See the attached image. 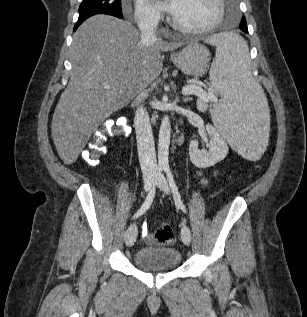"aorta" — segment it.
I'll list each match as a JSON object with an SVG mask.
<instances>
[{
  "instance_id": "aorta-1",
  "label": "aorta",
  "mask_w": 307,
  "mask_h": 317,
  "mask_svg": "<svg viewBox=\"0 0 307 317\" xmlns=\"http://www.w3.org/2000/svg\"><path fill=\"white\" fill-rule=\"evenodd\" d=\"M171 136V125L167 115L161 121L158 139V164L160 167H167L169 164V145Z\"/></svg>"
}]
</instances>
